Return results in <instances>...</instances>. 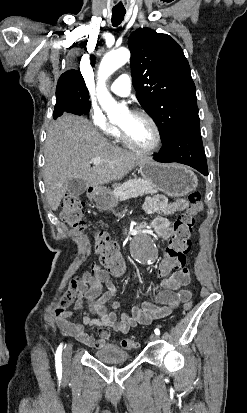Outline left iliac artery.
<instances>
[{
    "label": "left iliac artery",
    "instance_id": "obj_1",
    "mask_svg": "<svg viewBox=\"0 0 247 413\" xmlns=\"http://www.w3.org/2000/svg\"><path fill=\"white\" fill-rule=\"evenodd\" d=\"M154 332H155L156 335H160V330H159L158 328H156V329L154 330Z\"/></svg>",
    "mask_w": 247,
    "mask_h": 413
}]
</instances>
